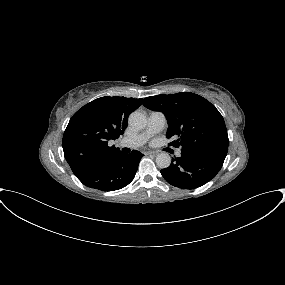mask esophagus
<instances>
[{
    "label": "esophagus",
    "mask_w": 285,
    "mask_h": 285,
    "mask_svg": "<svg viewBox=\"0 0 285 285\" xmlns=\"http://www.w3.org/2000/svg\"><path fill=\"white\" fill-rule=\"evenodd\" d=\"M146 154L155 156V155H157V152H155V151H148Z\"/></svg>",
    "instance_id": "esophagus-1"
}]
</instances>
